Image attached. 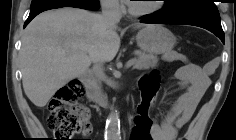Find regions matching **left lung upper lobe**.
Here are the masks:
<instances>
[{"instance_id":"left-lung-upper-lobe-1","label":"left lung upper lobe","mask_w":236,"mask_h":140,"mask_svg":"<svg viewBox=\"0 0 236 140\" xmlns=\"http://www.w3.org/2000/svg\"><path fill=\"white\" fill-rule=\"evenodd\" d=\"M165 17H200L220 20L214 0H167L164 8L154 14Z\"/></svg>"}]
</instances>
